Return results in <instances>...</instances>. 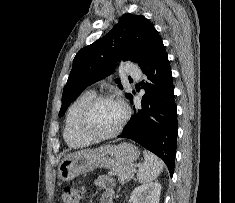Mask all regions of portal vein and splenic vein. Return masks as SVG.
<instances>
[{
    "label": "portal vein and splenic vein",
    "instance_id": "obj_1",
    "mask_svg": "<svg viewBox=\"0 0 235 203\" xmlns=\"http://www.w3.org/2000/svg\"><path fill=\"white\" fill-rule=\"evenodd\" d=\"M132 172H134V173H135V172H136V169H135V168H133Z\"/></svg>",
    "mask_w": 235,
    "mask_h": 203
}]
</instances>
